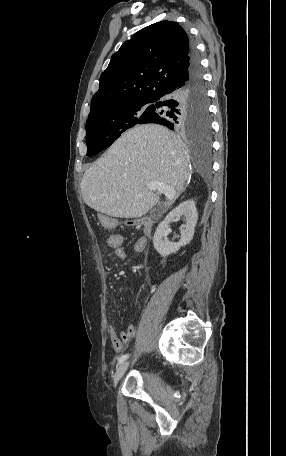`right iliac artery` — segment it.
<instances>
[{
	"label": "right iliac artery",
	"mask_w": 286,
	"mask_h": 456,
	"mask_svg": "<svg viewBox=\"0 0 286 456\" xmlns=\"http://www.w3.org/2000/svg\"><path fill=\"white\" fill-rule=\"evenodd\" d=\"M128 357H129V354H124L121 357H119L118 358V364L123 363Z\"/></svg>",
	"instance_id": "obj_1"
}]
</instances>
